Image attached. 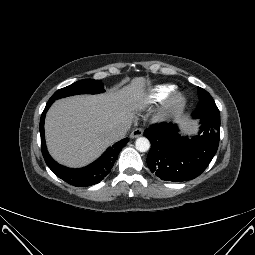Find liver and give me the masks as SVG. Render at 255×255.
Masks as SVG:
<instances>
[{"label":"liver","mask_w":255,"mask_h":255,"mask_svg":"<svg viewBox=\"0 0 255 255\" xmlns=\"http://www.w3.org/2000/svg\"><path fill=\"white\" fill-rule=\"evenodd\" d=\"M144 78H135L120 91L78 95L57 100L45 119V137L51 156L60 164L81 167L96 159L114 140L110 134L130 124L133 110L143 103ZM188 130L193 122L181 120Z\"/></svg>","instance_id":"6515ba94"}]
</instances>
